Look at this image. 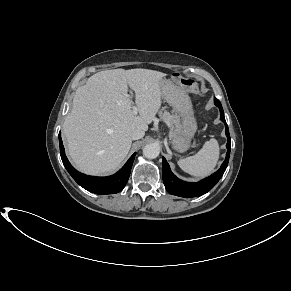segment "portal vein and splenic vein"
<instances>
[{"label":"portal vein and splenic vein","mask_w":291,"mask_h":291,"mask_svg":"<svg viewBox=\"0 0 291 291\" xmlns=\"http://www.w3.org/2000/svg\"><path fill=\"white\" fill-rule=\"evenodd\" d=\"M132 109H133L132 110L133 114L137 115V111H138L137 106H133Z\"/></svg>","instance_id":"18ae733b"}]
</instances>
